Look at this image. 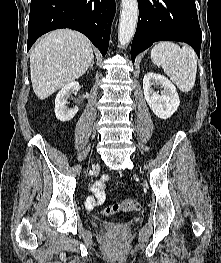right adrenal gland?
I'll return each instance as SVG.
<instances>
[{
    "instance_id": "right-adrenal-gland-1",
    "label": "right adrenal gland",
    "mask_w": 221,
    "mask_h": 263,
    "mask_svg": "<svg viewBox=\"0 0 221 263\" xmlns=\"http://www.w3.org/2000/svg\"><path fill=\"white\" fill-rule=\"evenodd\" d=\"M93 65H94V61H92L91 65H90V69L93 68Z\"/></svg>"
}]
</instances>
